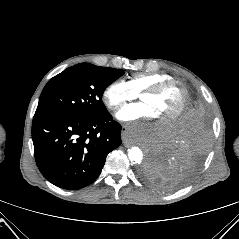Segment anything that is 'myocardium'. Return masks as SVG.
Instances as JSON below:
<instances>
[{"mask_svg":"<svg viewBox=\"0 0 239 239\" xmlns=\"http://www.w3.org/2000/svg\"><path fill=\"white\" fill-rule=\"evenodd\" d=\"M175 86L178 88V90L181 93V102L179 107L171 114L166 116L162 121H171L179 117L183 111L185 110L188 102V91L185 88L184 85H182L179 81L174 80V79H168L161 81L157 84H154L152 86L147 87L144 89L139 97L141 98L143 95L149 94V95H156L162 92L163 90L167 89L168 87Z\"/></svg>","mask_w":239,"mask_h":239,"instance_id":"myocardium-1","label":"myocardium"}]
</instances>
